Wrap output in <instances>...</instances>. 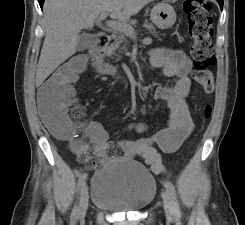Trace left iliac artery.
<instances>
[{"label":"left iliac artery","instance_id":"44dca946","mask_svg":"<svg viewBox=\"0 0 245 225\" xmlns=\"http://www.w3.org/2000/svg\"><path fill=\"white\" fill-rule=\"evenodd\" d=\"M164 186L168 190L171 200H172V205H173V212L176 216H180V208H179V203L177 200V195H176V190L172 182L169 180L164 181Z\"/></svg>","mask_w":245,"mask_h":225}]
</instances>
